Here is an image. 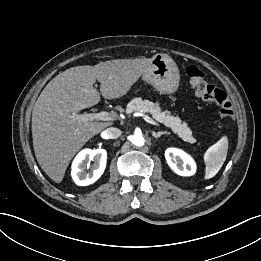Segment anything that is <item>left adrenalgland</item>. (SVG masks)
I'll list each match as a JSON object with an SVG mask.
<instances>
[{"instance_id":"left-adrenal-gland-1","label":"left adrenal gland","mask_w":261,"mask_h":261,"mask_svg":"<svg viewBox=\"0 0 261 261\" xmlns=\"http://www.w3.org/2000/svg\"><path fill=\"white\" fill-rule=\"evenodd\" d=\"M152 135L156 138V139H158L159 137H161V135H170V133L169 132H167V131H160V132H153L152 133Z\"/></svg>"}]
</instances>
